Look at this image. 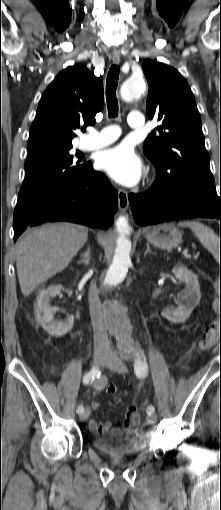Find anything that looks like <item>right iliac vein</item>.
Instances as JSON below:
<instances>
[{
	"label": "right iliac vein",
	"instance_id": "right-iliac-vein-1",
	"mask_svg": "<svg viewBox=\"0 0 221 510\" xmlns=\"http://www.w3.org/2000/svg\"><path fill=\"white\" fill-rule=\"evenodd\" d=\"M109 355L105 353L96 352L93 356V363L94 365H100L103 364L107 359ZM90 415V408L87 407L82 413H80L79 418L81 421H85L88 419Z\"/></svg>",
	"mask_w": 221,
	"mask_h": 510
}]
</instances>
